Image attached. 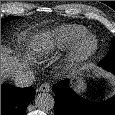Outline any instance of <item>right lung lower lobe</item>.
Wrapping results in <instances>:
<instances>
[{
    "label": "right lung lower lobe",
    "mask_w": 115,
    "mask_h": 115,
    "mask_svg": "<svg viewBox=\"0 0 115 115\" xmlns=\"http://www.w3.org/2000/svg\"><path fill=\"white\" fill-rule=\"evenodd\" d=\"M34 97L35 90L32 87L1 85V115H25L27 106Z\"/></svg>",
    "instance_id": "right-lung-lower-lobe-1"
}]
</instances>
